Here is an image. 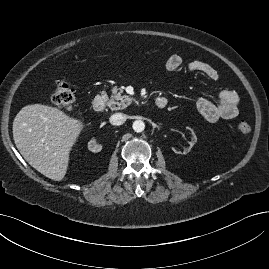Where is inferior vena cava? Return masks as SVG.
Here are the masks:
<instances>
[{"instance_id":"602c4592","label":"inferior vena cava","mask_w":269,"mask_h":269,"mask_svg":"<svg viewBox=\"0 0 269 269\" xmlns=\"http://www.w3.org/2000/svg\"><path fill=\"white\" fill-rule=\"evenodd\" d=\"M127 119V116L125 114H122V113H115L113 114L109 121L112 125H122Z\"/></svg>"}]
</instances>
